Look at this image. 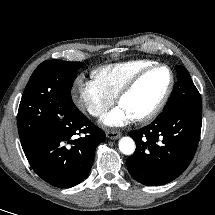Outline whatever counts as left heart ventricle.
I'll return each mask as SVG.
<instances>
[{
	"label": "left heart ventricle",
	"instance_id": "left-heart-ventricle-1",
	"mask_svg": "<svg viewBox=\"0 0 215 215\" xmlns=\"http://www.w3.org/2000/svg\"><path fill=\"white\" fill-rule=\"evenodd\" d=\"M170 80L165 68H158L147 74L120 102L133 118L145 115L158 103Z\"/></svg>",
	"mask_w": 215,
	"mask_h": 215
}]
</instances>
